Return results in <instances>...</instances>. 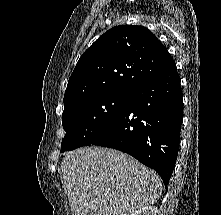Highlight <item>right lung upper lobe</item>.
<instances>
[{
  "label": "right lung upper lobe",
  "instance_id": "1",
  "mask_svg": "<svg viewBox=\"0 0 221 215\" xmlns=\"http://www.w3.org/2000/svg\"><path fill=\"white\" fill-rule=\"evenodd\" d=\"M173 63L166 47L147 28L113 27L78 60L65 91L64 107L99 95H130Z\"/></svg>",
  "mask_w": 221,
  "mask_h": 215
}]
</instances>
